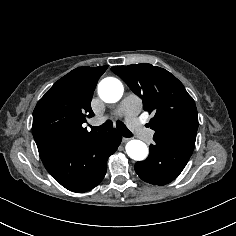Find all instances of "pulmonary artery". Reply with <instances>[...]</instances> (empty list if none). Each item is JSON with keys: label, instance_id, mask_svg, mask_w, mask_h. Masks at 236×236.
<instances>
[{"label": "pulmonary artery", "instance_id": "1", "mask_svg": "<svg viewBox=\"0 0 236 236\" xmlns=\"http://www.w3.org/2000/svg\"><path fill=\"white\" fill-rule=\"evenodd\" d=\"M117 115L123 116V115H124V110H123V109H119V110L117 111ZM127 118H128V117H127Z\"/></svg>", "mask_w": 236, "mask_h": 236}]
</instances>
